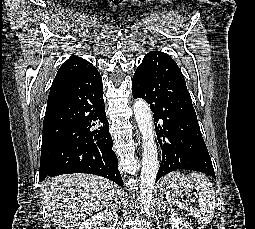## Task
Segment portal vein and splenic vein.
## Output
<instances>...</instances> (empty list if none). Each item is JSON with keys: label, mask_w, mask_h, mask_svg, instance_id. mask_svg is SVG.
<instances>
[{"label": "portal vein and splenic vein", "mask_w": 255, "mask_h": 229, "mask_svg": "<svg viewBox=\"0 0 255 229\" xmlns=\"http://www.w3.org/2000/svg\"><path fill=\"white\" fill-rule=\"evenodd\" d=\"M190 202H195V200H194V199H192V200H190Z\"/></svg>", "instance_id": "18ae733b"}]
</instances>
